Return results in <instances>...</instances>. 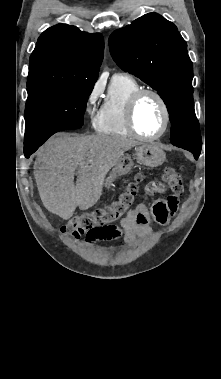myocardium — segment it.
Listing matches in <instances>:
<instances>
[{
  "mask_svg": "<svg viewBox=\"0 0 221 379\" xmlns=\"http://www.w3.org/2000/svg\"><path fill=\"white\" fill-rule=\"evenodd\" d=\"M146 95H152L158 100L164 115V123L162 129L158 134L153 136H146L140 133L135 122V115L138 103ZM126 122L128 129L130 130L132 135L136 136L137 138L145 141H154L160 139L167 132L170 124V111L164 97L154 89H139L128 100L126 107Z\"/></svg>",
  "mask_w": 221,
  "mask_h": 379,
  "instance_id": "obj_1",
  "label": "myocardium"
}]
</instances>
